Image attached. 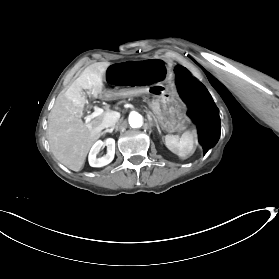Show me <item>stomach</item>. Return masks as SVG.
Segmentation results:
<instances>
[{"instance_id":"0dacf381","label":"stomach","mask_w":279,"mask_h":279,"mask_svg":"<svg viewBox=\"0 0 279 279\" xmlns=\"http://www.w3.org/2000/svg\"><path fill=\"white\" fill-rule=\"evenodd\" d=\"M149 110L162 130L168 133L179 131L189 118L187 103L181 97L167 100L155 97L149 103Z\"/></svg>"}]
</instances>
